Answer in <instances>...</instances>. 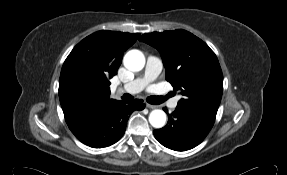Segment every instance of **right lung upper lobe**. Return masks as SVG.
Instances as JSON below:
<instances>
[{"label": "right lung upper lobe", "instance_id": "cb5924a9", "mask_svg": "<svg viewBox=\"0 0 287 175\" xmlns=\"http://www.w3.org/2000/svg\"><path fill=\"white\" fill-rule=\"evenodd\" d=\"M140 34L102 30L78 43L66 58L59 79V99L68 127L92 117L110 98V79L123 52Z\"/></svg>", "mask_w": 287, "mask_h": 175}]
</instances>
